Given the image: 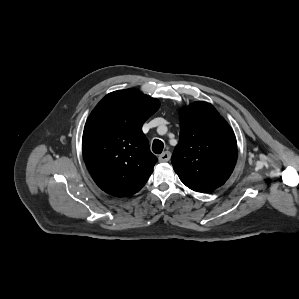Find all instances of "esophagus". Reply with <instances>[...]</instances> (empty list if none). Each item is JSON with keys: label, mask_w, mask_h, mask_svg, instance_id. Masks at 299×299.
I'll return each instance as SVG.
<instances>
[{"label": "esophagus", "mask_w": 299, "mask_h": 299, "mask_svg": "<svg viewBox=\"0 0 299 299\" xmlns=\"http://www.w3.org/2000/svg\"><path fill=\"white\" fill-rule=\"evenodd\" d=\"M170 158H171V153L169 151H165L161 155H159L158 160L160 162H168Z\"/></svg>", "instance_id": "obj_1"}]
</instances>
